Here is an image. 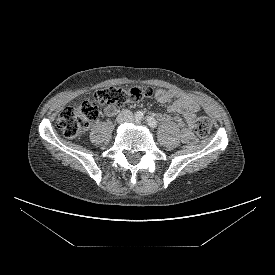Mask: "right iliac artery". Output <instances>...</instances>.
Masks as SVG:
<instances>
[{
	"label": "right iliac artery",
	"instance_id": "82829eb1",
	"mask_svg": "<svg viewBox=\"0 0 275 275\" xmlns=\"http://www.w3.org/2000/svg\"><path fill=\"white\" fill-rule=\"evenodd\" d=\"M143 117H144V115H143L142 112L138 111V112L135 113V119L137 121H141L143 119Z\"/></svg>",
	"mask_w": 275,
	"mask_h": 275
}]
</instances>
